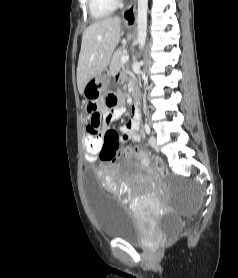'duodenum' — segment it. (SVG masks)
<instances>
[{"mask_svg":"<svg viewBox=\"0 0 238 278\" xmlns=\"http://www.w3.org/2000/svg\"><path fill=\"white\" fill-rule=\"evenodd\" d=\"M132 103H133V110L137 113L140 112V108H139V97H138V92L134 89L133 90V99H132Z\"/></svg>","mask_w":238,"mask_h":278,"instance_id":"obj_1","label":"duodenum"}]
</instances>
